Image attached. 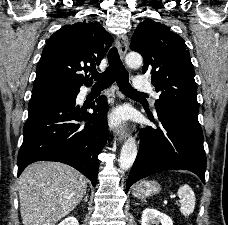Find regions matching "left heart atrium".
I'll return each mask as SVG.
<instances>
[{
    "instance_id": "obj_1",
    "label": "left heart atrium",
    "mask_w": 228,
    "mask_h": 225,
    "mask_svg": "<svg viewBox=\"0 0 228 225\" xmlns=\"http://www.w3.org/2000/svg\"><path fill=\"white\" fill-rule=\"evenodd\" d=\"M127 118V113L122 109H116L110 115V120L115 124H120Z\"/></svg>"
}]
</instances>
